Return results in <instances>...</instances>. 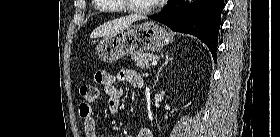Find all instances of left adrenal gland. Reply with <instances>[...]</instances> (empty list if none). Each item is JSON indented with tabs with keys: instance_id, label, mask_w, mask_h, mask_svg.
Instances as JSON below:
<instances>
[{
	"instance_id": "obj_1",
	"label": "left adrenal gland",
	"mask_w": 280,
	"mask_h": 137,
	"mask_svg": "<svg viewBox=\"0 0 280 137\" xmlns=\"http://www.w3.org/2000/svg\"><path fill=\"white\" fill-rule=\"evenodd\" d=\"M170 60H171V57H170L169 54L167 53L166 56H165V61H164V63L160 66V68H159L158 71H157L156 80H155L154 86H156V83L158 82L160 71L162 70V68H163Z\"/></svg>"
}]
</instances>
